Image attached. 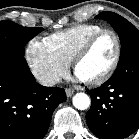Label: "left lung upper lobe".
Here are the masks:
<instances>
[{"mask_svg":"<svg viewBox=\"0 0 139 139\" xmlns=\"http://www.w3.org/2000/svg\"><path fill=\"white\" fill-rule=\"evenodd\" d=\"M96 18L106 20L118 33L121 41V61L134 51H139V31L129 21L113 12H101Z\"/></svg>","mask_w":139,"mask_h":139,"instance_id":"obj_1","label":"left lung upper lobe"}]
</instances>
